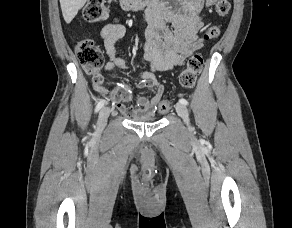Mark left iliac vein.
<instances>
[{
	"label": "left iliac vein",
	"instance_id": "4c4485c4",
	"mask_svg": "<svg viewBox=\"0 0 292 228\" xmlns=\"http://www.w3.org/2000/svg\"><path fill=\"white\" fill-rule=\"evenodd\" d=\"M176 111L178 115L183 119L184 123L188 126V128L191 129L189 114L186 106L181 103H178L176 105Z\"/></svg>",
	"mask_w": 292,
	"mask_h": 228
}]
</instances>
